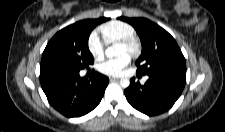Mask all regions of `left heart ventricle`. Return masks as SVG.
Wrapping results in <instances>:
<instances>
[{
  "instance_id": "left-heart-ventricle-1",
  "label": "left heart ventricle",
  "mask_w": 225,
  "mask_h": 132,
  "mask_svg": "<svg viewBox=\"0 0 225 132\" xmlns=\"http://www.w3.org/2000/svg\"><path fill=\"white\" fill-rule=\"evenodd\" d=\"M117 54L118 55H122V54H128V50L126 47L122 46V45H118L117 46Z\"/></svg>"
}]
</instances>
